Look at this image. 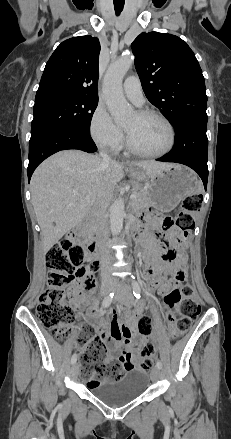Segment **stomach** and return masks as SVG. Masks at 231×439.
<instances>
[{
	"mask_svg": "<svg viewBox=\"0 0 231 439\" xmlns=\"http://www.w3.org/2000/svg\"><path fill=\"white\" fill-rule=\"evenodd\" d=\"M130 174L138 181H146V172L131 167ZM200 183L197 175L188 167L174 165L150 178L148 193L151 205L161 212H170L186 197L198 192Z\"/></svg>",
	"mask_w": 231,
	"mask_h": 439,
	"instance_id": "1",
	"label": "stomach"
}]
</instances>
